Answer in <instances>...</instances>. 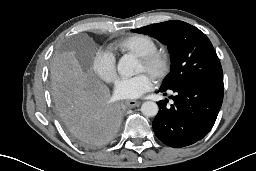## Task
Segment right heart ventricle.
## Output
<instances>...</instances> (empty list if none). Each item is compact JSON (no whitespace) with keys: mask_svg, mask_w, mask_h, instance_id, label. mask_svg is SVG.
<instances>
[{"mask_svg":"<svg viewBox=\"0 0 256 171\" xmlns=\"http://www.w3.org/2000/svg\"><path fill=\"white\" fill-rule=\"evenodd\" d=\"M111 48L123 53L140 56L156 50L157 44L155 40L148 35L132 34L114 42Z\"/></svg>","mask_w":256,"mask_h":171,"instance_id":"1","label":"right heart ventricle"}]
</instances>
